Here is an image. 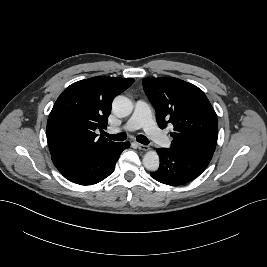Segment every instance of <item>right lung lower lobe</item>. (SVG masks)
<instances>
[{"label": "right lung lower lobe", "mask_w": 267, "mask_h": 267, "mask_svg": "<svg viewBox=\"0 0 267 267\" xmlns=\"http://www.w3.org/2000/svg\"><path fill=\"white\" fill-rule=\"evenodd\" d=\"M129 146L128 142L117 143L109 148L87 153L54 156L52 161L69 181L80 185H93L114 171L120 154Z\"/></svg>", "instance_id": "right-lung-lower-lobe-1"}]
</instances>
